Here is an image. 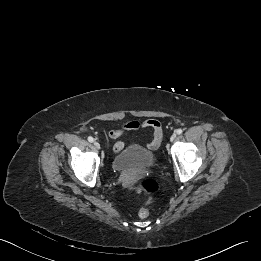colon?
<instances>
[{"mask_svg": "<svg viewBox=\"0 0 261 261\" xmlns=\"http://www.w3.org/2000/svg\"><path fill=\"white\" fill-rule=\"evenodd\" d=\"M158 189L159 184L155 180L146 179L143 180L138 186L134 187L132 191L143 193L148 198L146 203H149L152 200L153 194L156 193ZM138 216L140 218H147L149 216V209L145 205L140 207Z\"/></svg>", "mask_w": 261, "mask_h": 261, "instance_id": "obj_1", "label": "colon"}]
</instances>
